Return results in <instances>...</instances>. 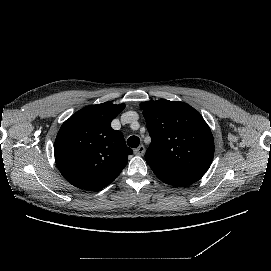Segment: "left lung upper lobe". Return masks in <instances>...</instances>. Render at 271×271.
I'll return each instance as SVG.
<instances>
[{
	"label": "left lung upper lobe",
	"instance_id": "5c2ea615",
	"mask_svg": "<svg viewBox=\"0 0 271 271\" xmlns=\"http://www.w3.org/2000/svg\"><path fill=\"white\" fill-rule=\"evenodd\" d=\"M152 142L146 161L204 174L213 160L214 140L201 114L184 102H142Z\"/></svg>",
	"mask_w": 271,
	"mask_h": 271
}]
</instances>
